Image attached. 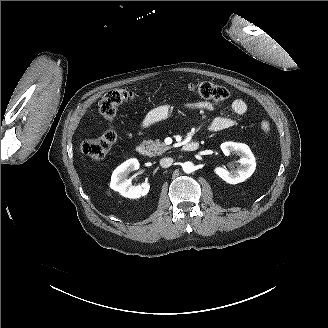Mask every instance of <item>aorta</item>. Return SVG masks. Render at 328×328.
Returning a JSON list of instances; mask_svg holds the SVG:
<instances>
[{
    "label": "aorta",
    "instance_id": "1",
    "mask_svg": "<svg viewBox=\"0 0 328 328\" xmlns=\"http://www.w3.org/2000/svg\"><path fill=\"white\" fill-rule=\"evenodd\" d=\"M182 168H183V171L185 173H192L195 169L194 164L192 162H189V161L183 163Z\"/></svg>",
    "mask_w": 328,
    "mask_h": 328
}]
</instances>
